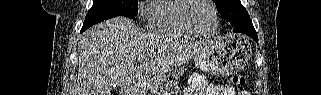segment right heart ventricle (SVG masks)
I'll return each mask as SVG.
<instances>
[{
  "label": "right heart ventricle",
  "instance_id": "1",
  "mask_svg": "<svg viewBox=\"0 0 321 95\" xmlns=\"http://www.w3.org/2000/svg\"><path fill=\"white\" fill-rule=\"evenodd\" d=\"M185 0H154L148 10V27L150 30L184 35L197 36L180 19V10Z\"/></svg>",
  "mask_w": 321,
  "mask_h": 95
}]
</instances>
